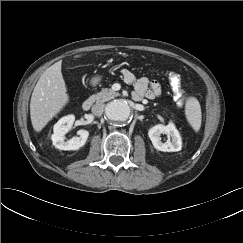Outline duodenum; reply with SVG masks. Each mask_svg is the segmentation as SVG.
Returning <instances> with one entry per match:
<instances>
[{
  "instance_id": "obj_1",
  "label": "duodenum",
  "mask_w": 243,
  "mask_h": 243,
  "mask_svg": "<svg viewBox=\"0 0 243 243\" xmlns=\"http://www.w3.org/2000/svg\"><path fill=\"white\" fill-rule=\"evenodd\" d=\"M92 105H93V99L88 97L83 101L82 108L84 110H89L92 107Z\"/></svg>"
}]
</instances>
